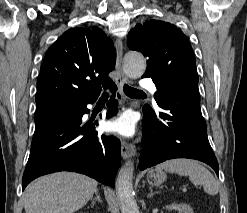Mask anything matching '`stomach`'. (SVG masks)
<instances>
[{"mask_svg": "<svg viewBox=\"0 0 247 213\" xmlns=\"http://www.w3.org/2000/svg\"><path fill=\"white\" fill-rule=\"evenodd\" d=\"M166 174L162 171L150 170L147 174V181L150 185H160L166 180Z\"/></svg>", "mask_w": 247, "mask_h": 213, "instance_id": "obj_1", "label": "stomach"}]
</instances>
